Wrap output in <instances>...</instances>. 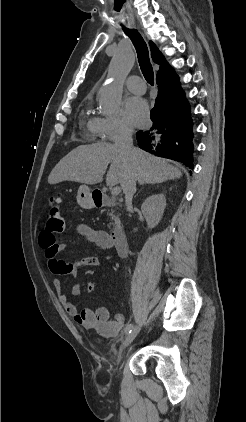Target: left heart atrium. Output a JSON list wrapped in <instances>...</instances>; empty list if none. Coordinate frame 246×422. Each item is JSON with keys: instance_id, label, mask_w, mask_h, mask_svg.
<instances>
[{"instance_id": "39dd6f15", "label": "left heart atrium", "mask_w": 246, "mask_h": 422, "mask_svg": "<svg viewBox=\"0 0 246 422\" xmlns=\"http://www.w3.org/2000/svg\"><path fill=\"white\" fill-rule=\"evenodd\" d=\"M124 114L132 125L137 127L146 125L149 117L147 102L141 97H129L124 103Z\"/></svg>"}]
</instances>
